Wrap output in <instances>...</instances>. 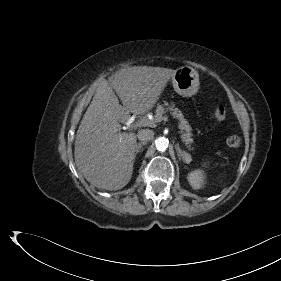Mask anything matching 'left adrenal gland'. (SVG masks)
Masks as SVG:
<instances>
[{
  "label": "left adrenal gland",
  "mask_w": 281,
  "mask_h": 281,
  "mask_svg": "<svg viewBox=\"0 0 281 281\" xmlns=\"http://www.w3.org/2000/svg\"><path fill=\"white\" fill-rule=\"evenodd\" d=\"M176 151H177V155L179 157V160L182 158V160L184 162H187V157H188V154L185 152V151H182L179 147V145H176Z\"/></svg>",
  "instance_id": "left-adrenal-gland-1"
}]
</instances>
